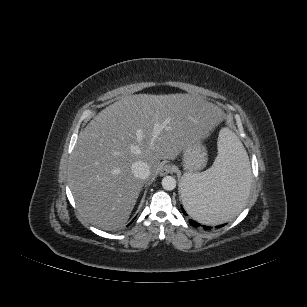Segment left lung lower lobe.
Listing matches in <instances>:
<instances>
[{"label":"left lung lower lobe","mask_w":307,"mask_h":307,"mask_svg":"<svg viewBox=\"0 0 307 307\" xmlns=\"http://www.w3.org/2000/svg\"><path fill=\"white\" fill-rule=\"evenodd\" d=\"M245 172L243 169H238L233 171L230 178V185L227 190L224 191L221 206L225 213L233 214L236 213L241 206V184L244 180ZM182 207V206H181ZM183 214L187 216V213L182 207ZM190 224L194 227H199L200 224L194 220H189ZM225 224L216 226V228H220ZM205 230H210V226H202Z\"/></svg>","instance_id":"0a47b994"}]
</instances>
